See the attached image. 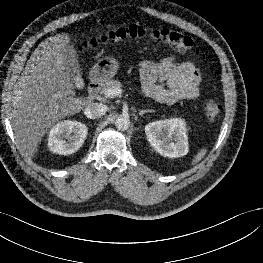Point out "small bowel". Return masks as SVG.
<instances>
[{
    "label": "small bowel",
    "mask_w": 263,
    "mask_h": 263,
    "mask_svg": "<svg viewBox=\"0 0 263 263\" xmlns=\"http://www.w3.org/2000/svg\"><path fill=\"white\" fill-rule=\"evenodd\" d=\"M139 72L143 94L157 102L173 104L199 96L201 77L190 61L179 63L174 56L142 60Z\"/></svg>",
    "instance_id": "small-bowel-1"
}]
</instances>
